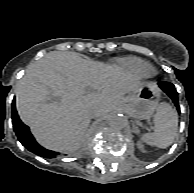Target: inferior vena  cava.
<instances>
[{
  "label": "inferior vena cava",
  "instance_id": "obj_1",
  "mask_svg": "<svg viewBox=\"0 0 194 193\" xmlns=\"http://www.w3.org/2000/svg\"><path fill=\"white\" fill-rule=\"evenodd\" d=\"M97 113H98V110L96 108H91L89 110V114H88L89 119H91V120L96 119Z\"/></svg>",
  "mask_w": 194,
  "mask_h": 193
}]
</instances>
